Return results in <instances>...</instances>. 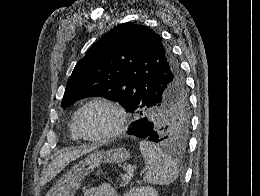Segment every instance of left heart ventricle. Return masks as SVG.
<instances>
[{
    "mask_svg": "<svg viewBox=\"0 0 260 196\" xmlns=\"http://www.w3.org/2000/svg\"><path fill=\"white\" fill-rule=\"evenodd\" d=\"M118 124L116 112L106 104L95 103L80 115L79 125L89 136H100L113 130Z\"/></svg>",
    "mask_w": 260,
    "mask_h": 196,
    "instance_id": "1",
    "label": "left heart ventricle"
}]
</instances>
